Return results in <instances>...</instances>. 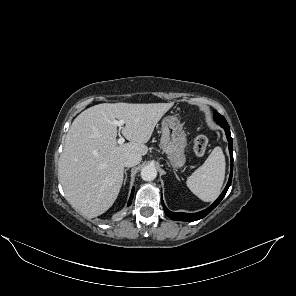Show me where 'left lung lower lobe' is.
Wrapping results in <instances>:
<instances>
[{
	"label": "left lung lower lobe",
	"mask_w": 296,
	"mask_h": 296,
	"mask_svg": "<svg viewBox=\"0 0 296 296\" xmlns=\"http://www.w3.org/2000/svg\"><path fill=\"white\" fill-rule=\"evenodd\" d=\"M221 127L224 128L228 142H229V152H230V157H231V173H230V177L228 180V183L224 189V191L222 192V194L218 197V199L207 209L197 212V213H176V212H171L169 211L165 206H163L164 208V212L165 214L170 217L173 220H180V221H186V222H192V221H196L199 220L203 217H205L207 214H209L219 203L220 201L224 198L230 184L232 181V173H233V141H232V137H231V133H230V128L228 123H223V122H217Z\"/></svg>",
	"instance_id": "1"
}]
</instances>
